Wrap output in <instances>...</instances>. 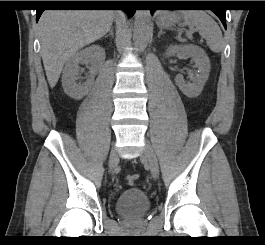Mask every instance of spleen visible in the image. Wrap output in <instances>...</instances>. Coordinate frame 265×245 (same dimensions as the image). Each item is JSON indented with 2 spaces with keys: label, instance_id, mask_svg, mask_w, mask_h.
Wrapping results in <instances>:
<instances>
[{
  "label": "spleen",
  "instance_id": "1",
  "mask_svg": "<svg viewBox=\"0 0 265 245\" xmlns=\"http://www.w3.org/2000/svg\"><path fill=\"white\" fill-rule=\"evenodd\" d=\"M184 24L195 29L206 40L209 48L219 53L224 49V40L218 24L204 11H182ZM190 35V33H188Z\"/></svg>",
  "mask_w": 265,
  "mask_h": 245
}]
</instances>
